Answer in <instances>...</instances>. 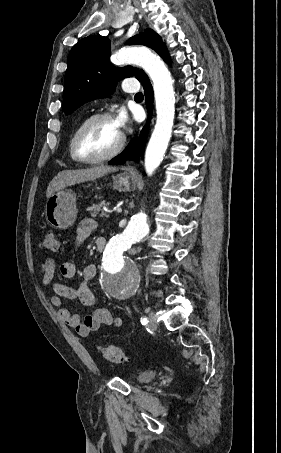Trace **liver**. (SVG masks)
I'll list each match as a JSON object with an SVG mask.
<instances>
[{
    "instance_id": "liver-1",
    "label": "liver",
    "mask_w": 281,
    "mask_h": 453,
    "mask_svg": "<svg viewBox=\"0 0 281 453\" xmlns=\"http://www.w3.org/2000/svg\"><path fill=\"white\" fill-rule=\"evenodd\" d=\"M118 166H107V164H100V166H92V168H81V170H61L58 172L51 182H49L46 190V196L49 198L56 190H62L64 186H71V184H79L85 180H96L101 178L108 172H115Z\"/></svg>"
}]
</instances>
